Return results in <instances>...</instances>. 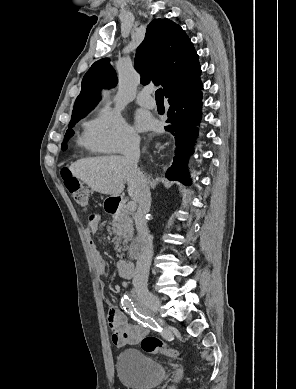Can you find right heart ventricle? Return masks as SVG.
I'll list each match as a JSON object with an SVG mask.
<instances>
[{
	"label": "right heart ventricle",
	"instance_id": "right-heart-ventricle-1",
	"mask_svg": "<svg viewBox=\"0 0 296 389\" xmlns=\"http://www.w3.org/2000/svg\"><path fill=\"white\" fill-rule=\"evenodd\" d=\"M79 143L92 151H100L94 137V121L89 120L83 123L82 131L78 139Z\"/></svg>",
	"mask_w": 296,
	"mask_h": 389
}]
</instances>
